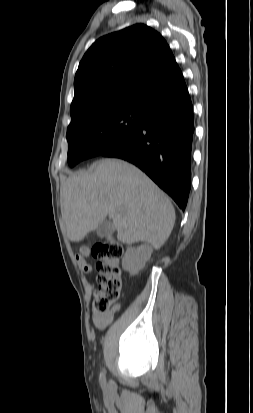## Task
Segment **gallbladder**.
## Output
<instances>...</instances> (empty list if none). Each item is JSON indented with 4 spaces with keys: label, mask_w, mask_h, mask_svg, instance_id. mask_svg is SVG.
<instances>
[{
    "label": "gallbladder",
    "mask_w": 253,
    "mask_h": 413,
    "mask_svg": "<svg viewBox=\"0 0 253 413\" xmlns=\"http://www.w3.org/2000/svg\"><path fill=\"white\" fill-rule=\"evenodd\" d=\"M114 232V225L109 220H104L97 228V235L100 238L107 237Z\"/></svg>",
    "instance_id": "1"
}]
</instances>
